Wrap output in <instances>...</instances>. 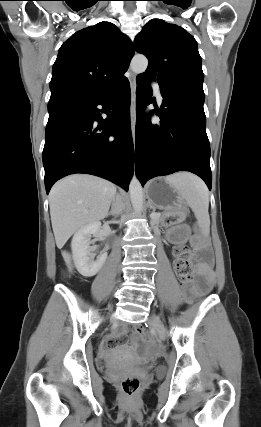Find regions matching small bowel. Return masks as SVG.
Returning <instances> with one entry per match:
<instances>
[{"mask_svg": "<svg viewBox=\"0 0 261 427\" xmlns=\"http://www.w3.org/2000/svg\"><path fill=\"white\" fill-rule=\"evenodd\" d=\"M203 285H204L203 282H199L198 284H196L192 288H189L187 291L190 295L194 294L199 288H202ZM122 343H123V339L120 336H110L106 340V345L110 348L119 346ZM133 345H134V343H133Z\"/></svg>", "mask_w": 261, "mask_h": 427, "instance_id": "1", "label": "small bowel"}]
</instances>
